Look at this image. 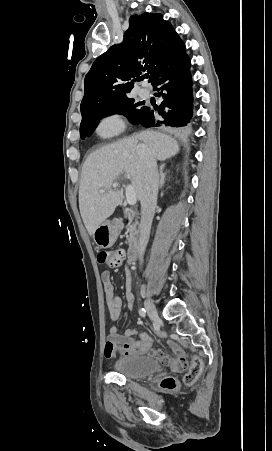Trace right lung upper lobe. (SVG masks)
Here are the masks:
<instances>
[{
  "instance_id": "cb5924a9",
  "label": "right lung upper lobe",
  "mask_w": 272,
  "mask_h": 451,
  "mask_svg": "<svg viewBox=\"0 0 272 451\" xmlns=\"http://www.w3.org/2000/svg\"><path fill=\"white\" fill-rule=\"evenodd\" d=\"M121 44L113 45L93 63L85 77L81 113L129 97L142 70L150 82L185 53V44L161 14L133 15Z\"/></svg>"
}]
</instances>
